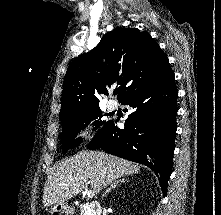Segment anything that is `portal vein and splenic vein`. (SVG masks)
<instances>
[{
  "mask_svg": "<svg viewBox=\"0 0 221 215\" xmlns=\"http://www.w3.org/2000/svg\"><path fill=\"white\" fill-rule=\"evenodd\" d=\"M95 191L94 190H89L88 192H87V196H88V198H92L93 196H95Z\"/></svg>",
  "mask_w": 221,
  "mask_h": 215,
  "instance_id": "1",
  "label": "portal vein and splenic vein"
}]
</instances>
